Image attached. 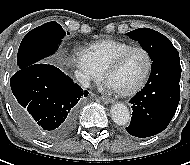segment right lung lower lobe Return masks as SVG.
Wrapping results in <instances>:
<instances>
[{"mask_svg": "<svg viewBox=\"0 0 190 165\" xmlns=\"http://www.w3.org/2000/svg\"><path fill=\"white\" fill-rule=\"evenodd\" d=\"M10 85L19 121L49 140L63 139L74 130L77 103L88 95L60 69L44 62L18 70Z\"/></svg>", "mask_w": 190, "mask_h": 165, "instance_id": "1", "label": "right lung lower lobe"}]
</instances>
